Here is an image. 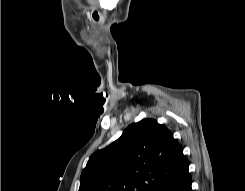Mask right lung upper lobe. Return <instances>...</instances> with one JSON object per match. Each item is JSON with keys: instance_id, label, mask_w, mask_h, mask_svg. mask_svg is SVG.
<instances>
[{"instance_id": "obj_1", "label": "right lung upper lobe", "mask_w": 245, "mask_h": 191, "mask_svg": "<svg viewBox=\"0 0 245 191\" xmlns=\"http://www.w3.org/2000/svg\"><path fill=\"white\" fill-rule=\"evenodd\" d=\"M187 168L172 133L153 119H143L91 155L79 191H157Z\"/></svg>"}]
</instances>
